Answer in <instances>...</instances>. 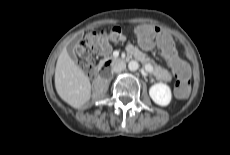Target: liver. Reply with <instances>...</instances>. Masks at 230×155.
I'll use <instances>...</instances> for the list:
<instances>
[{"instance_id":"1","label":"liver","mask_w":230,"mask_h":155,"mask_svg":"<svg viewBox=\"0 0 230 155\" xmlns=\"http://www.w3.org/2000/svg\"><path fill=\"white\" fill-rule=\"evenodd\" d=\"M55 88L61 99L74 108L82 107L91 97L90 80L70 58L66 47L57 60Z\"/></svg>"}]
</instances>
